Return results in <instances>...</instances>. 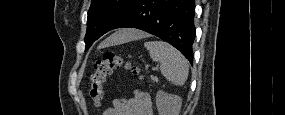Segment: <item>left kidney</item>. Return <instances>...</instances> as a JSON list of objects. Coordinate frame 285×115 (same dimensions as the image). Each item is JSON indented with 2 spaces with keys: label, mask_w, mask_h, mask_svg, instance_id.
<instances>
[{
  "label": "left kidney",
  "mask_w": 285,
  "mask_h": 115,
  "mask_svg": "<svg viewBox=\"0 0 285 115\" xmlns=\"http://www.w3.org/2000/svg\"><path fill=\"white\" fill-rule=\"evenodd\" d=\"M182 99L174 94L159 90L156 94V106L159 115H178L181 109Z\"/></svg>",
  "instance_id": "5707ae66"
}]
</instances>
